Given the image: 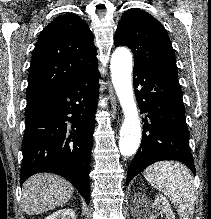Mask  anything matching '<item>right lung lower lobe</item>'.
Wrapping results in <instances>:
<instances>
[{
  "label": "right lung lower lobe",
  "instance_id": "obj_1",
  "mask_svg": "<svg viewBox=\"0 0 211 219\" xmlns=\"http://www.w3.org/2000/svg\"><path fill=\"white\" fill-rule=\"evenodd\" d=\"M99 78L96 67L27 103L21 184L39 172L56 173L70 181L89 204Z\"/></svg>",
  "mask_w": 211,
  "mask_h": 219
}]
</instances>
